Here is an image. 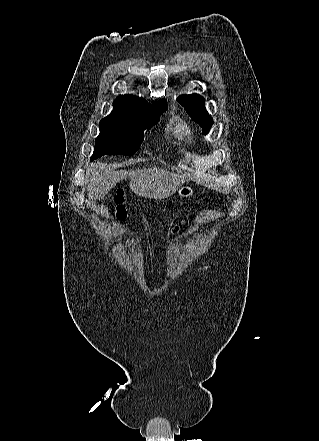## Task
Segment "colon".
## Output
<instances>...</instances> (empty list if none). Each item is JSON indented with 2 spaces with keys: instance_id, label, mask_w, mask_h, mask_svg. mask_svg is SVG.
<instances>
[{
  "instance_id": "obj_1",
  "label": "colon",
  "mask_w": 319,
  "mask_h": 441,
  "mask_svg": "<svg viewBox=\"0 0 319 441\" xmlns=\"http://www.w3.org/2000/svg\"><path fill=\"white\" fill-rule=\"evenodd\" d=\"M123 202H124V198L122 193H118L117 196L115 197V203H116L115 215L118 220H123L126 217V210L123 205Z\"/></svg>"
}]
</instances>
